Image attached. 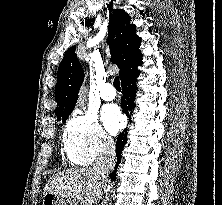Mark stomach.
Returning a JSON list of instances; mask_svg holds the SVG:
<instances>
[{"label":"stomach","instance_id":"obj_1","mask_svg":"<svg viewBox=\"0 0 222 205\" xmlns=\"http://www.w3.org/2000/svg\"><path fill=\"white\" fill-rule=\"evenodd\" d=\"M43 205H66V202L54 193L44 194Z\"/></svg>","mask_w":222,"mask_h":205}]
</instances>
